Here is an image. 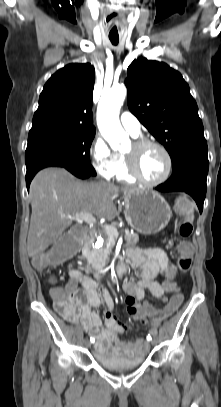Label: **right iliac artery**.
Masks as SVG:
<instances>
[{
    "instance_id": "1",
    "label": "right iliac artery",
    "mask_w": 221,
    "mask_h": 407,
    "mask_svg": "<svg viewBox=\"0 0 221 407\" xmlns=\"http://www.w3.org/2000/svg\"><path fill=\"white\" fill-rule=\"evenodd\" d=\"M90 341L93 343V342H94V338L91 337V338H90Z\"/></svg>"
}]
</instances>
